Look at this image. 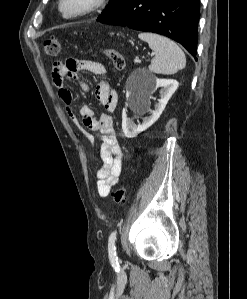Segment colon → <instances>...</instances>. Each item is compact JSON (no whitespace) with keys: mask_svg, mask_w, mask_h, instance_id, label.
<instances>
[{"mask_svg":"<svg viewBox=\"0 0 247 299\" xmlns=\"http://www.w3.org/2000/svg\"><path fill=\"white\" fill-rule=\"evenodd\" d=\"M44 51L49 56H57L60 52V42L57 39H46L43 43ZM104 55L109 58L116 70H123L125 67V59L123 55L114 49H106L103 51ZM113 200L116 204H123L126 202V187L124 185L115 189L112 193Z\"/></svg>","mask_w":247,"mask_h":299,"instance_id":"1","label":"colon"}]
</instances>
